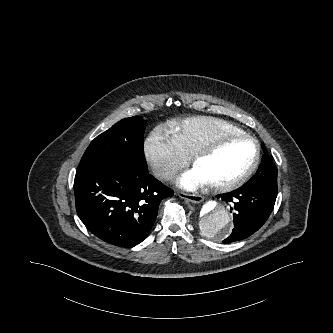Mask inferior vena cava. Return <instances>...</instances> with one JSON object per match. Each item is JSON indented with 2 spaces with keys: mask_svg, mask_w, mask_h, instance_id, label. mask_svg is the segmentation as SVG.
Listing matches in <instances>:
<instances>
[{
  "mask_svg": "<svg viewBox=\"0 0 333 333\" xmlns=\"http://www.w3.org/2000/svg\"><path fill=\"white\" fill-rule=\"evenodd\" d=\"M156 175L162 179H171L173 175H175V172L168 168H161L160 170H158Z\"/></svg>",
  "mask_w": 333,
  "mask_h": 333,
  "instance_id": "602c4592",
  "label": "inferior vena cava"
}]
</instances>
